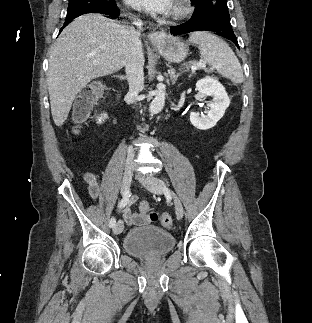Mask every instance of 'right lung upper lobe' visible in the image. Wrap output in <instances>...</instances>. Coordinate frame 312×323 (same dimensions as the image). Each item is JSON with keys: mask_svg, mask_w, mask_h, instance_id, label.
<instances>
[{"mask_svg": "<svg viewBox=\"0 0 312 323\" xmlns=\"http://www.w3.org/2000/svg\"><path fill=\"white\" fill-rule=\"evenodd\" d=\"M88 10H91V9H88ZM88 10H85V11H88ZM83 11H79V12H77V13H82Z\"/></svg>", "mask_w": 312, "mask_h": 323, "instance_id": "cb5924a9", "label": "right lung upper lobe"}]
</instances>
